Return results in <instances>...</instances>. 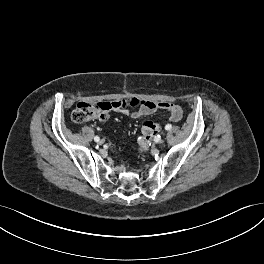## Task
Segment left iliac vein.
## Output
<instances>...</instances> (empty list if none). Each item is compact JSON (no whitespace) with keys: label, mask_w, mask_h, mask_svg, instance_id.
<instances>
[{"label":"left iliac vein","mask_w":264,"mask_h":264,"mask_svg":"<svg viewBox=\"0 0 264 264\" xmlns=\"http://www.w3.org/2000/svg\"><path fill=\"white\" fill-rule=\"evenodd\" d=\"M160 144H165V139H160Z\"/></svg>","instance_id":"obj_1"}]
</instances>
